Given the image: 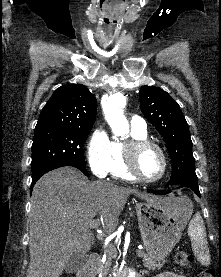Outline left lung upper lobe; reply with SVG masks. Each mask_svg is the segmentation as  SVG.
I'll return each instance as SVG.
<instances>
[{
	"mask_svg": "<svg viewBox=\"0 0 221 277\" xmlns=\"http://www.w3.org/2000/svg\"><path fill=\"white\" fill-rule=\"evenodd\" d=\"M139 100L146 119L166 142L172 159L169 184H198L189 127L178 103L161 88L152 86L141 87Z\"/></svg>",
	"mask_w": 221,
	"mask_h": 277,
	"instance_id": "1",
	"label": "left lung upper lobe"
}]
</instances>
